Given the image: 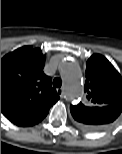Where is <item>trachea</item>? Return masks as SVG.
Returning a JSON list of instances; mask_svg holds the SVG:
<instances>
[{"label":"trachea","mask_w":122,"mask_h":154,"mask_svg":"<svg viewBox=\"0 0 122 154\" xmlns=\"http://www.w3.org/2000/svg\"><path fill=\"white\" fill-rule=\"evenodd\" d=\"M61 85H62L61 79L58 78V77H57V78H54V80H53V86H54V87H57V88H60Z\"/></svg>","instance_id":"trachea-1"}]
</instances>
